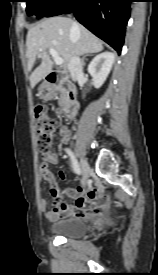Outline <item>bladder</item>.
<instances>
[{
  "label": "bladder",
  "instance_id": "bladder-1",
  "mask_svg": "<svg viewBox=\"0 0 158 275\" xmlns=\"http://www.w3.org/2000/svg\"><path fill=\"white\" fill-rule=\"evenodd\" d=\"M49 232L66 238H81L87 234V223L80 218H65L53 222L48 227Z\"/></svg>",
  "mask_w": 158,
  "mask_h": 275
}]
</instances>
